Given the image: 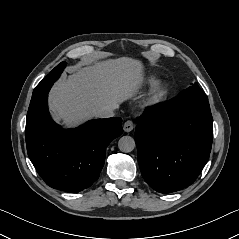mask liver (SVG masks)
Listing matches in <instances>:
<instances>
[{"label": "liver", "mask_w": 239, "mask_h": 239, "mask_svg": "<svg viewBox=\"0 0 239 239\" xmlns=\"http://www.w3.org/2000/svg\"><path fill=\"white\" fill-rule=\"evenodd\" d=\"M143 82L140 61L122 57L97 62L59 80L50 92L53 117L67 126L97 116V113L131 98Z\"/></svg>", "instance_id": "obj_1"}]
</instances>
